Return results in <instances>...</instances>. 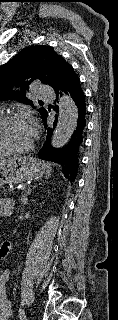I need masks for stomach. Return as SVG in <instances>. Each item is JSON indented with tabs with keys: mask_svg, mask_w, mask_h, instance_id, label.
Wrapping results in <instances>:
<instances>
[{
	"mask_svg": "<svg viewBox=\"0 0 118 320\" xmlns=\"http://www.w3.org/2000/svg\"><path fill=\"white\" fill-rule=\"evenodd\" d=\"M45 172V165L33 157H15L0 163V188L5 184H18L37 180Z\"/></svg>",
	"mask_w": 118,
	"mask_h": 320,
	"instance_id": "0dacf381",
	"label": "stomach"
}]
</instances>
